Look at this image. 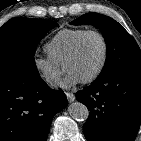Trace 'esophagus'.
<instances>
[{"label": "esophagus", "mask_w": 141, "mask_h": 141, "mask_svg": "<svg viewBox=\"0 0 141 141\" xmlns=\"http://www.w3.org/2000/svg\"><path fill=\"white\" fill-rule=\"evenodd\" d=\"M66 97H67L68 102L70 103L75 100V95L73 93L67 92Z\"/></svg>", "instance_id": "34e87169"}]
</instances>
